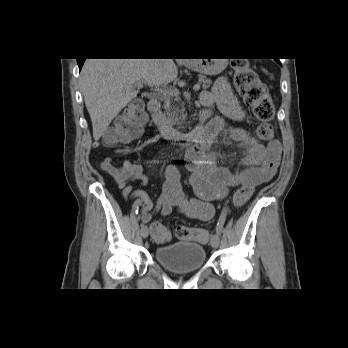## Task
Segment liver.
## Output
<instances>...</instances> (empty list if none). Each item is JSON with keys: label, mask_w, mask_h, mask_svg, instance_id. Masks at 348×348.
<instances>
[{"label": "liver", "mask_w": 348, "mask_h": 348, "mask_svg": "<svg viewBox=\"0 0 348 348\" xmlns=\"http://www.w3.org/2000/svg\"><path fill=\"white\" fill-rule=\"evenodd\" d=\"M173 59H87L80 75L85 105L99 140L112 120L134 99V84L166 86L176 80Z\"/></svg>", "instance_id": "liver-1"}]
</instances>
